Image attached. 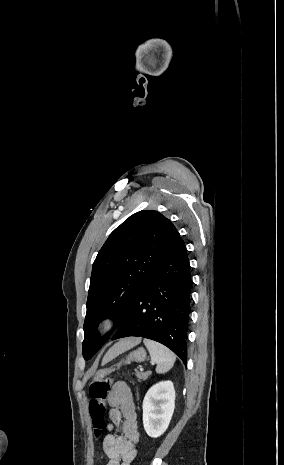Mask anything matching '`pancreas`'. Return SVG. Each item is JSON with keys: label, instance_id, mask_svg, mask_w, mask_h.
I'll return each instance as SVG.
<instances>
[{"label": "pancreas", "instance_id": "obj_1", "mask_svg": "<svg viewBox=\"0 0 284 465\" xmlns=\"http://www.w3.org/2000/svg\"><path fill=\"white\" fill-rule=\"evenodd\" d=\"M149 375H151V371H147V373H137L136 371V377H138V379H143V381H146V379H148ZM140 383V381H139Z\"/></svg>", "mask_w": 284, "mask_h": 465}]
</instances>
